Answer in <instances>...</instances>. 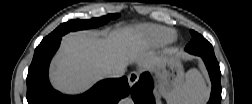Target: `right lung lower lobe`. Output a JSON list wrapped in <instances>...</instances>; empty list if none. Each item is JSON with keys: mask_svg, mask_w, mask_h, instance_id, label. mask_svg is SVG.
Returning <instances> with one entry per match:
<instances>
[{"mask_svg": "<svg viewBox=\"0 0 252 104\" xmlns=\"http://www.w3.org/2000/svg\"><path fill=\"white\" fill-rule=\"evenodd\" d=\"M60 42L61 38H57L40 43L35 49L27 75L28 104H117L128 96L130 87L126 77L102 80L78 96H66L54 90L48 80V68Z\"/></svg>", "mask_w": 252, "mask_h": 104, "instance_id": "1", "label": "right lung lower lobe"}]
</instances>
